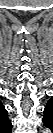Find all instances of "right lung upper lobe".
<instances>
[{"label":"right lung upper lobe","mask_w":53,"mask_h":133,"mask_svg":"<svg viewBox=\"0 0 53 133\" xmlns=\"http://www.w3.org/2000/svg\"><path fill=\"white\" fill-rule=\"evenodd\" d=\"M0 129L6 132H11V122L8 119L7 111L4 106L0 103Z\"/></svg>","instance_id":"cb5924a9"}]
</instances>
